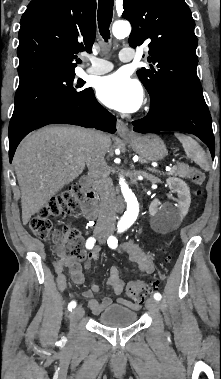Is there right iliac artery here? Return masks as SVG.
Here are the masks:
<instances>
[{
	"label": "right iliac artery",
	"mask_w": 221,
	"mask_h": 379,
	"mask_svg": "<svg viewBox=\"0 0 221 379\" xmlns=\"http://www.w3.org/2000/svg\"><path fill=\"white\" fill-rule=\"evenodd\" d=\"M95 238L94 237H89L86 241V248L87 249H92L95 245ZM76 307V301H71L69 304H68V310L69 311H72V309H74Z\"/></svg>",
	"instance_id": "1"
}]
</instances>
